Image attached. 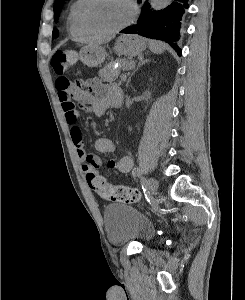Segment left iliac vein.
Wrapping results in <instances>:
<instances>
[{"label": "left iliac vein", "mask_w": 245, "mask_h": 300, "mask_svg": "<svg viewBox=\"0 0 245 300\" xmlns=\"http://www.w3.org/2000/svg\"><path fill=\"white\" fill-rule=\"evenodd\" d=\"M147 184H148V187H149V190H150L151 194L155 195L158 191V182H157V180L151 177V178L148 179Z\"/></svg>", "instance_id": "1"}]
</instances>
